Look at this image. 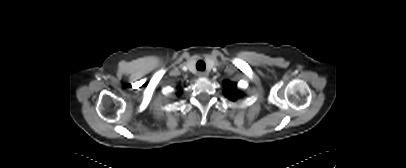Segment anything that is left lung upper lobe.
Segmentation results:
<instances>
[{"label":"left lung upper lobe","instance_id":"left-lung-upper-lobe-1","mask_svg":"<svg viewBox=\"0 0 406 168\" xmlns=\"http://www.w3.org/2000/svg\"><path fill=\"white\" fill-rule=\"evenodd\" d=\"M224 94L228 99L232 101H235L242 96L240 92L236 91V84L229 81L225 82Z\"/></svg>","mask_w":406,"mask_h":168}]
</instances>
